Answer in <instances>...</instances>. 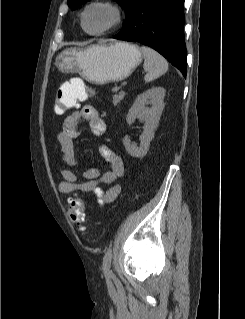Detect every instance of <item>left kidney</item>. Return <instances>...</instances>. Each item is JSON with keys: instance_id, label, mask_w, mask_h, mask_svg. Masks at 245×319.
<instances>
[{"instance_id": "5707ae66", "label": "left kidney", "mask_w": 245, "mask_h": 319, "mask_svg": "<svg viewBox=\"0 0 245 319\" xmlns=\"http://www.w3.org/2000/svg\"><path fill=\"white\" fill-rule=\"evenodd\" d=\"M165 93L166 90L163 87L149 89L138 95L129 109L126 117L128 124L131 125L136 118L144 121V130L140 136L139 147H137V144L132 143L128 136L123 139L125 149L132 157L142 158L146 155L164 109ZM147 104L152 106L150 108L146 107Z\"/></svg>"}]
</instances>
